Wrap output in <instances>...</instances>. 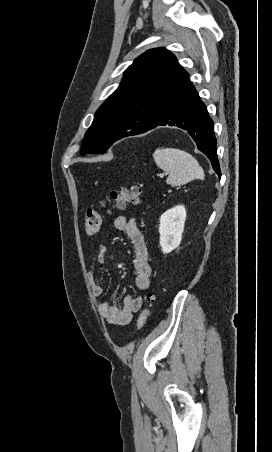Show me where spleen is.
Instances as JSON below:
<instances>
[{
  "label": "spleen",
  "instance_id": "obj_1",
  "mask_svg": "<svg viewBox=\"0 0 272 452\" xmlns=\"http://www.w3.org/2000/svg\"><path fill=\"white\" fill-rule=\"evenodd\" d=\"M156 165L169 173L167 184L180 186L194 179H203L204 171L189 153L175 148L156 149L153 153Z\"/></svg>",
  "mask_w": 272,
  "mask_h": 452
}]
</instances>
